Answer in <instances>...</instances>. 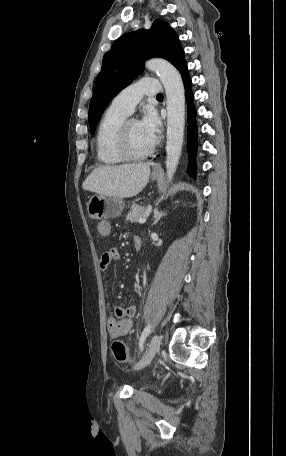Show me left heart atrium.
Segmentation results:
<instances>
[{
	"label": "left heart atrium",
	"mask_w": 286,
	"mask_h": 456,
	"mask_svg": "<svg viewBox=\"0 0 286 456\" xmlns=\"http://www.w3.org/2000/svg\"><path fill=\"white\" fill-rule=\"evenodd\" d=\"M139 124L147 136L155 142L161 126L160 119L156 111L151 107L146 108Z\"/></svg>",
	"instance_id": "obj_1"
}]
</instances>
